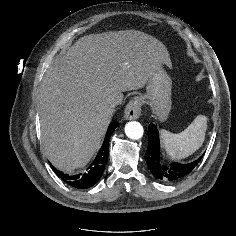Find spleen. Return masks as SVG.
I'll return each mask as SVG.
<instances>
[{"label":"spleen","instance_id":"spleen-1","mask_svg":"<svg viewBox=\"0 0 236 236\" xmlns=\"http://www.w3.org/2000/svg\"><path fill=\"white\" fill-rule=\"evenodd\" d=\"M207 117L198 115L193 122L180 133L161 130L163 146L173 159H182L198 150L205 139Z\"/></svg>","mask_w":236,"mask_h":236}]
</instances>
